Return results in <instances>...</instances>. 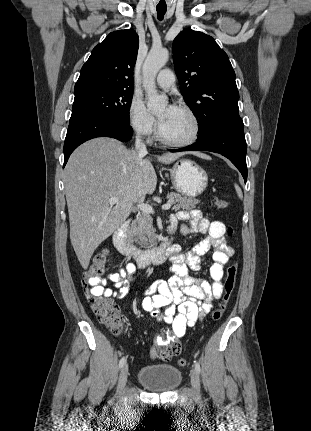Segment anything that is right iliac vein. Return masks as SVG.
I'll return each mask as SVG.
<instances>
[{"mask_svg":"<svg viewBox=\"0 0 311 431\" xmlns=\"http://www.w3.org/2000/svg\"><path fill=\"white\" fill-rule=\"evenodd\" d=\"M128 371H129L128 364H124L119 375L118 391H121L124 388L128 378Z\"/></svg>","mask_w":311,"mask_h":431,"instance_id":"right-iliac-vein-1","label":"right iliac vein"}]
</instances>
